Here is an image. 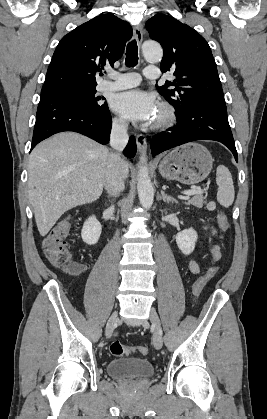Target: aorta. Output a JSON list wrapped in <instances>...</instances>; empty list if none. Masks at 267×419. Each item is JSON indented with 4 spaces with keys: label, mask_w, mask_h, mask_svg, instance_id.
Listing matches in <instances>:
<instances>
[{
    "label": "aorta",
    "mask_w": 267,
    "mask_h": 419,
    "mask_svg": "<svg viewBox=\"0 0 267 419\" xmlns=\"http://www.w3.org/2000/svg\"><path fill=\"white\" fill-rule=\"evenodd\" d=\"M143 54L149 62H160L163 56L161 46L156 42L147 41L142 46ZM146 156L143 154L139 161L137 176V190L140 203L143 208L150 209L154 201V190L146 164Z\"/></svg>",
    "instance_id": "1"
}]
</instances>
